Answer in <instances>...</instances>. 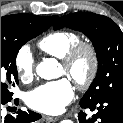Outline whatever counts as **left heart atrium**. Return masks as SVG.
Wrapping results in <instances>:
<instances>
[{"label":"left heart atrium","mask_w":123,"mask_h":123,"mask_svg":"<svg viewBox=\"0 0 123 123\" xmlns=\"http://www.w3.org/2000/svg\"><path fill=\"white\" fill-rule=\"evenodd\" d=\"M74 90L67 78L44 83L28 92L25 98L26 104L39 112L56 114L72 101Z\"/></svg>","instance_id":"obj_1"}]
</instances>
